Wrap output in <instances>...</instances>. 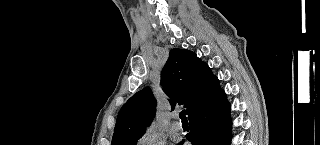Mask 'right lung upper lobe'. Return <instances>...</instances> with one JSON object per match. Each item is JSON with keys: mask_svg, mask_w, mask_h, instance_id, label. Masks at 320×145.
<instances>
[{"mask_svg": "<svg viewBox=\"0 0 320 145\" xmlns=\"http://www.w3.org/2000/svg\"><path fill=\"white\" fill-rule=\"evenodd\" d=\"M216 77L195 53L174 48L161 72V85L170 97L172 110L176 104L186 107L189 116L201 108ZM156 112V100L149 88L134 94L121 108L112 145H131L145 132Z\"/></svg>", "mask_w": 320, "mask_h": 145, "instance_id": "right-lung-upper-lobe-1", "label": "right lung upper lobe"}]
</instances>
